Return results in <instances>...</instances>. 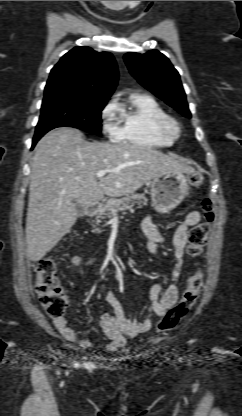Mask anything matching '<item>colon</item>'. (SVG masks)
<instances>
[{"instance_id": "obj_1", "label": "colon", "mask_w": 242, "mask_h": 416, "mask_svg": "<svg viewBox=\"0 0 242 416\" xmlns=\"http://www.w3.org/2000/svg\"><path fill=\"white\" fill-rule=\"evenodd\" d=\"M191 185L199 187L203 183L200 175L194 174L189 178ZM204 220L195 224L189 232L188 253L198 257L205 246L210 225L214 220L211 201H202ZM203 287V276L196 269L189 277L186 288L178 303L170 307L158 322V331L163 332L176 327L187 316L194 306ZM36 293L40 305L52 318L63 317L67 308V298L57 278V263L54 257L46 256L39 260L36 272Z\"/></svg>"}]
</instances>
